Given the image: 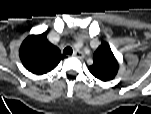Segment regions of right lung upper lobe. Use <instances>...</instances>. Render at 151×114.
I'll return each instance as SVG.
<instances>
[{
	"label": "right lung upper lobe",
	"mask_w": 151,
	"mask_h": 114,
	"mask_svg": "<svg viewBox=\"0 0 151 114\" xmlns=\"http://www.w3.org/2000/svg\"><path fill=\"white\" fill-rule=\"evenodd\" d=\"M19 56L24 67L33 74L43 75L53 70L64 58L44 32L28 36L20 46Z\"/></svg>",
	"instance_id": "right-lung-upper-lobe-1"
}]
</instances>
